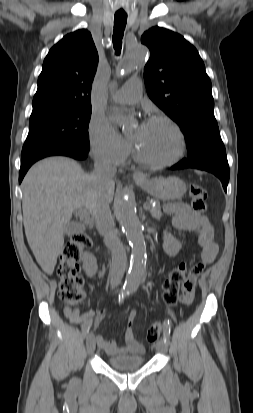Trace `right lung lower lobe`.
Here are the masks:
<instances>
[{
    "instance_id": "right-lung-lower-lobe-1",
    "label": "right lung lower lobe",
    "mask_w": 253,
    "mask_h": 413,
    "mask_svg": "<svg viewBox=\"0 0 253 413\" xmlns=\"http://www.w3.org/2000/svg\"><path fill=\"white\" fill-rule=\"evenodd\" d=\"M54 155H63V156H68L72 157L74 159L78 160H83L88 156V151L84 149H78V148H58V149H53V150H48L28 156H24L21 158V168L19 172V183H21L24 175L30 168V166L35 163L36 161L48 157V156H54Z\"/></svg>"
}]
</instances>
